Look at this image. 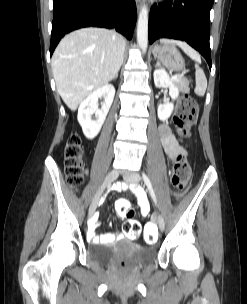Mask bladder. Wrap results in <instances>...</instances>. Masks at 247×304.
<instances>
[{
	"instance_id": "1",
	"label": "bladder",
	"mask_w": 247,
	"mask_h": 304,
	"mask_svg": "<svg viewBox=\"0 0 247 304\" xmlns=\"http://www.w3.org/2000/svg\"><path fill=\"white\" fill-rule=\"evenodd\" d=\"M87 251L92 260L103 265L109 264L118 254L114 244H93ZM127 253L137 262L145 263L155 257L156 250L153 247L129 244Z\"/></svg>"
}]
</instances>
